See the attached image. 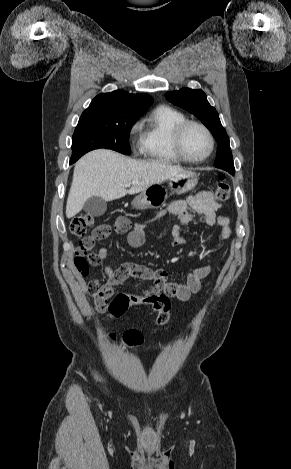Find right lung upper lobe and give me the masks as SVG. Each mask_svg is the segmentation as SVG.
<instances>
[{
  "label": "right lung upper lobe",
  "mask_w": 291,
  "mask_h": 469,
  "mask_svg": "<svg viewBox=\"0 0 291 469\" xmlns=\"http://www.w3.org/2000/svg\"><path fill=\"white\" fill-rule=\"evenodd\" d=\"M152 102L153 99L148 94H130L124 90H116L97 95L82 116L138 118Z\"/></svg>",
  "instance_id": "1"
}]
</instances>
